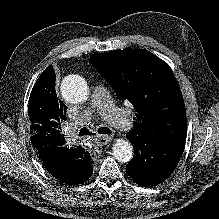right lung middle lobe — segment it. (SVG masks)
I'll return each mask as SVG.
<instances>
[{
	"label": "right lung middle lobe",
	"mask_w": 219,
	"mask_h": 219,
	"mask_svg": "<svg viewBox=\"0 0 219 219\" xmlns=\"http://www.w3.org/2000/svg\"><path fill=\"white\" fill-rule=\"evenodd\" d=\"M32 115H34V116H39V112H38L37 110H34V111L32 112V114H31L30 111H29V107H28V116H29V118H31ZM29 120H30V119H29Z\"/></svg>",
	"instance_id": "dd1d6c3e"
}]
</instances>
